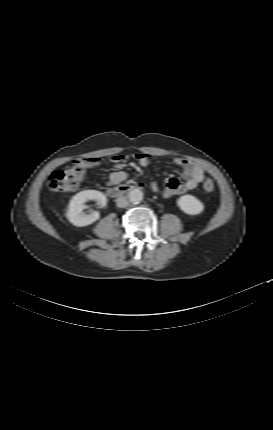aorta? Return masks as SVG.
<instances>
[{
    "mask_svg": "<svg viewBox=\"0 0 273 430\" xmlns=\"http://www.w3.org/2000/svg\"><path fill=\"white\" fill-rule=\"evenodd\" d=\"M128 199L132 204H139L143 200V192L139 188H134L128 192Z\"/></svg>",
    "mask_w": 273,
    "mask_h": 430,
    "instance_id": "obj_1",
    "label": "aorta"
}]
</instances>
